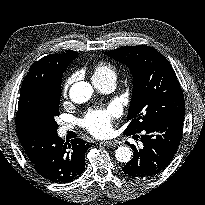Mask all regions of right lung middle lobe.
I'll return each mask as SVG.
<instances>
[{"label": "right lung middle lobe", "mask_w": 205, "mask_h": 205, "mask_svg": "<svg viewBox=\"0 0 205 205\" xmlns=\"http://www.w3.org/2000/svg\"><path fill=\"white\" fill-rule=\"evenodd\" d=\"M62 74L49 84H33L20 91L18 125L32 133H57Z\"/></svg>", "instance_id": "right-lung-middle-lobe-1"}]
</instances>
